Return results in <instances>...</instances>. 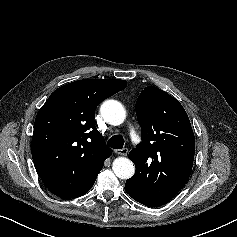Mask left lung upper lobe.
Wrapping results in <instances>:
<instances>
[{"mask_svg": "<svg viewBox=\"0 0 237 237\" xmlns=\"http://www.w3.org/2000/svg\"><path fill=\"white\" fill-rule=\"evenodd\" d=\"M136 114L142 142L129 153L136 166L132 187L142 204L162 206L190 177L194 133L180 102L157 87L140 93Z\"/></svg>", "mask_w": 237, "mask_h": 237, "instance_id": "left-lung-upper-lobe-1", "label": "left lung upper lobe"}]
</instances>
